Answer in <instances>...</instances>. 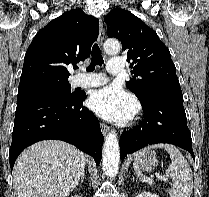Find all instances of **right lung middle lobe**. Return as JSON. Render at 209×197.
<instances>
[{"label": "right lung middle lobe", "instance_id": "right-lung-middle-lobe-1", "mask_svg": "<svg viewBox=\"0 0 209 197\" xmlns=\"http://www.w3.org/2000/svg\"><path fill=\"white\" fill-rule=\"evenodd\" d=\"M69 82H42L19 87L17 106L47 99H65L75 96Z\"/></svg>", "mask_w": 209, "mask_h": 197}]
</instances>
